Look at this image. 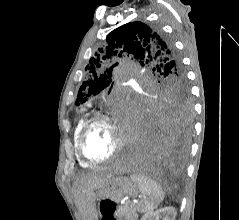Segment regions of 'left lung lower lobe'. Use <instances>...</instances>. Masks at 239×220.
<instances>
[{"instance_id":"0a47b994","label":"left lung lower lobe","mask_w":239,"mask_h":220,"mask_svg":"<svg viewBox=\"0 0 239 220\" xmlns=\"http://www.w3.org/2000/svg\"><path fill=\"white\" fill-rule=\"evenodd\" d=\"M135 141L128 162L142 170L180 165L189 145L191 126L175 112L137 108L132 113Z\"/></svg>"}]
</instances>
